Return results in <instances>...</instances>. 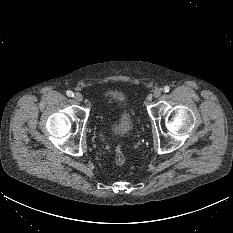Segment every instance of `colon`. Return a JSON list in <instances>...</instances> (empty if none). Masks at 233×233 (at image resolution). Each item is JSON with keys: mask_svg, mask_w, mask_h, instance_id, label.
Masks as SVG:
<instances>
[{"mask_svg": "<svg viewBox=\"0 0 233 233\" xmlns=\"http://www.w3.org/2000/svg\"><path fill=\"white\" fill-rule=\"evenodd\" d=\"M115 162L118 165H123L126 162V156L122 151L121 147H118L116 154H115Z\"/></svg>", "mask_w": 233, "mask_h": 233, "instance_id": "1", "label": "colon"}]
</instances>
